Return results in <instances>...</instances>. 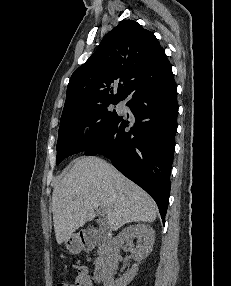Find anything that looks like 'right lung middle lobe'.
I'll return each mask as SVG.
<instances>
[{
  "instance_id": "1",
  "label": "right lung middle lobe",
  "mask_w": 231,
  "mask_h": 286,
  "mask_svg": "<svg viewBox=\"0 0 231 286\" xmlns=\"http://www.w3.org/2000/svg\"><path fill=\"white\" fill-rule=\"evenodd\" d=\"M118 101L104 102L61 117L57 142L56 164L64 158L86 150L106 134L120 118L110 105ZM90 126V133L83 138L84 127Z\"/></svg>"
}]
</instances>
